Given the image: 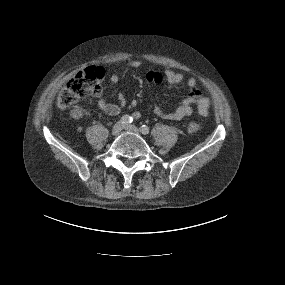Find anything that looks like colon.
Segmentation results:
<instances>
[{"mask_svg":"<svg viewBox=\"0 0 285 285\" xmlns=\"http://www.w3.org/2000/svg\"><path fill=\"white\" fill-rule=\"evenodd\" d=\"M104 73L99 66H89L79 71L71 78L59 93L56 104L60 109H70V116L73 119H80L82 111L76 104L88 96H97L101 92V81ZM198 122H190L188 131L195 133L200 130Z\"/></svg>","mask_w":285,"mask_h":285,"instance_id":"colon-1","label":"colon"}]
</instances>
